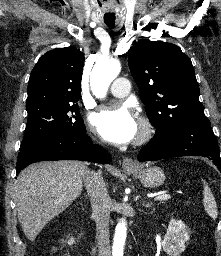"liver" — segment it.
I'll return each instance as SVG.
<instances>
[{
	"label": "liver",
	"mask_w": 221,
	"mask_h": 256,
	"mask_svg": "<svg viewBox=\"0 0 221 256\" xmlns=\"http://www.w3.org/2000/svg\"><path fill=\"white\" fill-rule=\"evenodd\" d=\"M87 171L80 161L41 162L21 171L14 197L19 222L30 241L79 197Z\"/></svg>",
	"instance_id": "6515ba94"
}]
</instances>
